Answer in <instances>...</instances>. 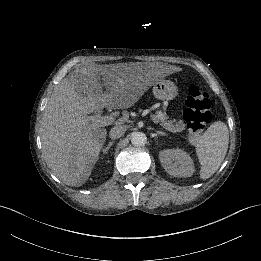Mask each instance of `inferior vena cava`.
Segmentation results:
<instances>
[{
    "label": "inferior vena cava",
    "instance_id": "602c4592",
    "mask_svg": "<svg viewBox=\"0 0 261 261\" xmlns=\"http://www.w3.org/2000/svg\"><path fill=\"white\" fill-rule=\"evenodd\" d=\"M126 129V126H114L109 132V137L113 140L118 139L124 136Z\"/></svg>",
    "mask_w": 261,
    "mask_h": 261
}]
</instances>
